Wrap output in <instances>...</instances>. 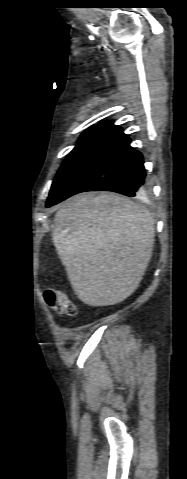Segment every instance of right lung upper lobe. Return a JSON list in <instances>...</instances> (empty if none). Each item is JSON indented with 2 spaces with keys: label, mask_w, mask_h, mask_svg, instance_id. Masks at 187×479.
Here are the masks:
<instances>
[{
  "label": "right lung upper lobe",
  "mask_w": 187,
  "mask_h": 479,
  "mask_svg": "<svg viewBox=\"0 0 187 479\" xmlns=\"http://www.w3.org/2000/svg\"><path fill=\"white\" fill-rule=\"evenodd\" d=\"M92 127L108 128V129H112V130H116V131L121 132V128L119 126L113 125L110 121H103V122H100L99 124H95Z\"/></svg>",
  "instance_id": "obj_1"
}]
</instances>
